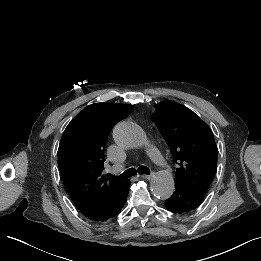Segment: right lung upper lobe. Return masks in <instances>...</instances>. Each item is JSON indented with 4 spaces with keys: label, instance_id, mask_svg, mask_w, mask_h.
I'll return each mask as SVG.
<instances>
[{
    "label": "right lung upper lobe",
    "instance_id": "obj_1",
    "mask_svg": "<svg viewBox=\"0 0 261 261\" xmlns=\"http://www.w3.org/2000/svg\"><path fill=\"white\" fill-rule=\"evenodd\" d=\"M133 109L124 104H91L71 120L62 135L57 153L60 173L70 198L85 216L128 183L108 181L102 171L108 134Z\"/></svg>",
    "mask_w": 261,
    "mask_h": 261
}]
</instances>
